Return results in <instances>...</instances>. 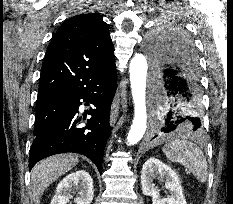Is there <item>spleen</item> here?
I'll return each mask as SVG.
<instances>
[{
	"label": "spleen",
	"instance_id": "3e777b00",
	"mask_svg": "<svg viewBox=\"0 0 233 204\" xmlns=\"http://www.w3.org/2000/svg\"><path fill=\"white\" fill-rule=\"evenodd\" d=\"M163 153L173 163L189 169L200 183L208 179L207 161L202 150L193 142L177 138L164 145Z\"/></svg>",
	"mask_w": 233,
	"mask_h": 204
}]
</instances>
